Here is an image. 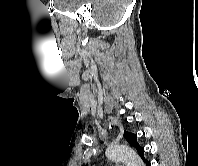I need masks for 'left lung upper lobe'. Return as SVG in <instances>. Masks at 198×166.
<instances>
[{
  "mask_svg": "<svg viewBox=\"0 0 198 166\" xmlns=\"http://www.w3.org/2000/svg\"><path fill=\"white\" fill-rule=\"evenodd\" d=\"M124 137L126 138V140L136 148L137 152L139 153V155L142 157L143 161H145L146 159L144 158V149L138 144L137 142V135L127 132H124Z\"/></svg>",
  "mask_w": 198,
  "mask_h": 166,
  "instance_id": "obj_1",
  "label": "left lung upper lobe"
}]
</instances>
